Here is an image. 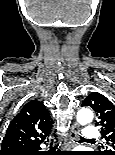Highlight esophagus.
Masks as SVG:
<instances>
[{
	"label": "esophagus",
	"mask_w": 115,
	"mask_h": 155,
	"mask_svg": "<svg viewBox=\"0 0 115 155\" xmlns=\"http://www.w3.org/2000/svg\"><path fill=\"white\" fill-rule=\"evenodd\" d=\"M79 125L77 123L73 124L70 133H69V146L70 148L75 146V142L78 138L79 133Z\"/></svg>",
	"instance_id": "1"
}]
</instances>
